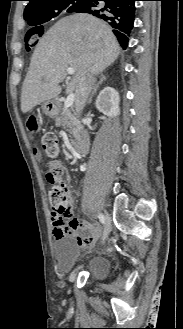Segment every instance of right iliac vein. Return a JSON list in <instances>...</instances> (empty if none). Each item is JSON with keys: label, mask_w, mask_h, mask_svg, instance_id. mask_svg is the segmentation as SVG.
<instances>
[{"label": "right iliac vein", "mask_w": 183, "mask_h": 329, "mask_svg": "<svg viewBox=\"0 0 183 329\" xmlns=\"http://www.w3.org/2000/svg\"><path fill=\"white\" fill-rule=\"evenodd\" d=\"M104 218H105V226H104L103 236H102V239H101V244L105 243V240H106V238L108 237V235L111 231L110 218H109L107 213L104 214Z\"/></svg>", "instance_id": "1"}]
</instances>
